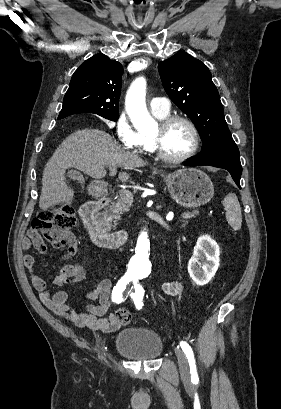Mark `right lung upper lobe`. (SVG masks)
Segmentation results:
<instances>
[{
    "label": "right lung upper lobe",
    "mask_w": 281,
    "mask_h": 409,
    "mask_svg": "<svg viewBox=\"0 0 281 409\" xmlns=\"http://www.w3.org/2000/svg\"><path fill=\"white\" fill-rule=\"evenodd\" d=\"M122 74V65L104 54L86 60L71 78L58 119L77 113L119 114Z\"/></svg>",
    "instance_id": "cb5924a9"
}]
</instances>
